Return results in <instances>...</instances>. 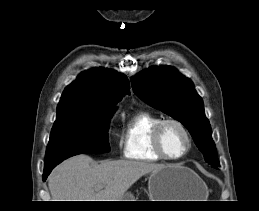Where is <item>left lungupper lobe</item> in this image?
<instances>
[{
    "label": "left lung upper lobe",
    "mask_w": 259,
    "mask_h": 211,
    "mask_svg": "<svg viewBox=\"0 0 259 211\" xmlns=\"http://www.w3.org/2000/svg\"><path fill=\"white\" fill-rule=\"evenodd\" d=\"M134 92L148 104L180 121L190 132L205 161L218 168L212 131L202 98L190 79L170 66L151 67L131 79Z\"/></svg>",
    "instance_id": "5c2ea615"
}]
</instances>
